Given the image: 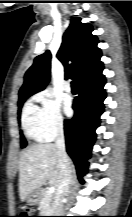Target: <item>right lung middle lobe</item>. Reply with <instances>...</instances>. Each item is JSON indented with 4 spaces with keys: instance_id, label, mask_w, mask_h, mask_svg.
I'll use <instances>...</instances> for the list:
<instances>
[{
    "instance_id": "right-lung-middle-lobe-1",
    "label": "right lung middle lobe",
    "mask_w": 132,
    "mask_h": 217,
    "mask_svg": "<svg viewBox=\"0 0 132 217\" xmlns=\"http://www.w3.org/2000/svg\"><path fill=\"white\" fill-rule=\"evenodd\" d=\"M27 98H22V99H19V102H18V113L20 114V111H21V108H22V105L24 103V101L26 100ZM21 147L24 148L26 145H27V142L23 136V134L21 133Z\"/></svg>"
}]
</instances>
